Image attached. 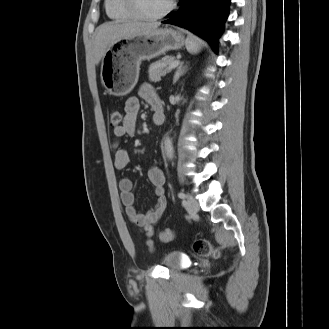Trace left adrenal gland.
Instances as JSON below:
<instances>
[{
	"label": "left adrenal gland",
	"mask_w": 329,
	"mask_h": 329,
	"mask_svg": "<svg viewBox=\"0 0 329 329\" xmlns=\"http://www.w3.org/2000/svg\"><path fill=\"white\" fill-rule=\"evenodd\" d=\"M187 71H188V67L187 66H184V62L182 61L179 64V66H178V68H177V70L175 72V75L173 77V84H175L179 80V78L182 75H184Z\"/></svg>",
	"instance_id": "obj_1"
}]
</instances>
